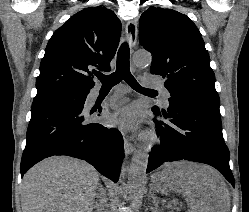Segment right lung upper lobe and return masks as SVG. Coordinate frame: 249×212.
Instances as JSON below:
<instances>
[{
	"label": "right lung upper lobe",
	"instance_id": "obj_1",
	"mask_svg": "<svg viewBox=\"0 0 249 212\" xmlns=\"http://www.w3.org/2000/svg\"><path fill=\"white\" fill-rule=\"evenodd\" d=\"M120 34V20L106 7H90L73 15L47 44L36 80V97L90 91L95 84L92 72L111 70Z\"/></svg>",
	"mask_w": 249,
	"mask_h": 212
}]
</instances>
